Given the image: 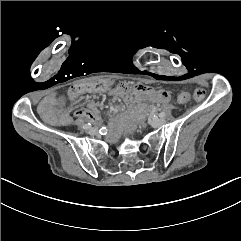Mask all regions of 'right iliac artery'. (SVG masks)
Returning a JSON list of instances; mask_svg holds the SVG:
<instances>
[{
  "label": "right iliac artery",
  "mask_w": 241,
  "mask_h": 241,
  "mask_svg": "<svg viewBox=\"0 0 241 241\" xmlns=\"http://www.w3.org/2000/svg\"><path fill=\"white\" fill-rule=\"evenodd\" d=\"M83 128H84V129H89V128H91V124H90V123L85 124V125L83 126Z\"/></svg>",
  "instance_id": "right-iliac-artery-1"
}]
</instances>
